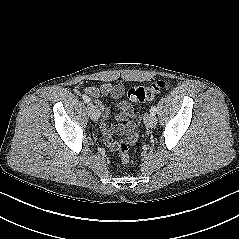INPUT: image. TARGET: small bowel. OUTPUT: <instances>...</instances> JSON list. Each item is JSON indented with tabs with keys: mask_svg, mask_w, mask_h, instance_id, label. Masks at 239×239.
Segmentation results:
<instances>
[{
	"mask_svg": "<svg viewBox=\"0 0 239 239\" xmlns=\"http://www.w3.org/2000/svg\"><path fill=\"white\" fill-rule=\"evenodd\" d=\"M84 92L93 99L96 107L102 113L100 129L104 142L108 147L116 148L115 135L127 136L128 141L132 144L136 142L138 137L136 130L139 122L135 121L137 115L134 114L131 105L126 101L117 104L119 110L117 120L122 123L114 126L109 123L111 114L109 106L100 101V98L105 96H109L115 100L120 99L124 94V87L121 84L104 83L99 87H87L84 89Z\"/></svg>",
	"mask_w": 239,
	"mask_h": 239,
	"instance_id": "c3829d8e",
	"label": "small bowel"
}]
</instances>
